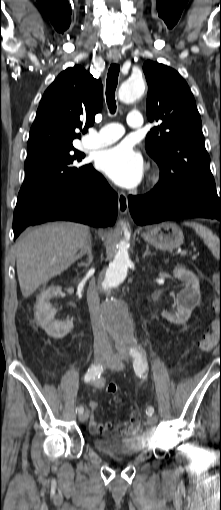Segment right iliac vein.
<instances>
[{"label": "right iliac vein", "mask_w": 221, "mask_h": 510, "mask_svg": "<svg viewBox=\"0 0 221 510\" xmlns=\"http://www.w3.org/2000/svg\"><path fill=\"white\" fill-rule=\"evenodd\" d=\"M109 356L104 353H96L94 356L95 363H104L108 360ZM89 417V410H85L81 414H79V421L85 422Z\"/></svg>", "instance_id": "right-iliac-vein-1"}]
</instances>
